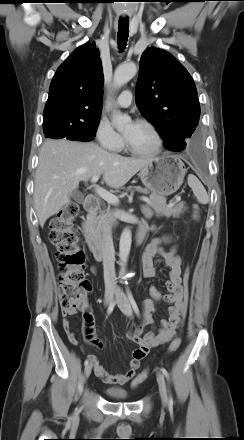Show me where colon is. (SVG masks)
Listing matches in <instances>:
<instances>
[{"mask_svg":"<svg viewBox=\"0 0 244 440\" xmlns=\"http://www.w3.org/2000/svg\"><path fill=\"white\" fill-rule=\"evenodd\" d=\"M79 213V206L70 202L60 209L51 219L49 228V239L56 246V259L60 268L58 296L63 316L74 315L79 310L88 307L87 295L91 290V284L85 279V254L79 246L80 236L74 227V221ZM198 207H193V217L198 219ZM183 301L181 314L185 317L190 298V267L185 266L183 275ZM181 344L180 337L172 340L168 352L176 351ZM149 349L146 346H139L135 349V355L144 358ZM149 374L144 369L133 380L132 386L137 387L144 382Z\"/></svg>","mask_w":244,"mask_h":440,"instance_id":"colon-1","label":"colon"}]
</instances>
